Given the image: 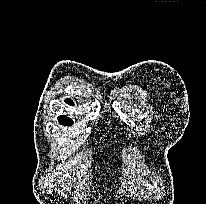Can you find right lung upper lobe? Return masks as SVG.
<instances>
[{"label": "right lung upper lobe", "mask_w": 206, "mask_h": 204, "mask_svg": "<svg viewBox=\"0 0 206 204\" xmlns=\"http://www.w3.org/2000/svg\"><path fill=\"white\" fill-rule=\"evenodd\" d=\"M65 102L68 103L69 105H74V103L71 99H66Z\"/></svg>", "instance_id": "1"}]
</instances>
